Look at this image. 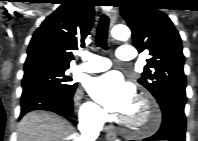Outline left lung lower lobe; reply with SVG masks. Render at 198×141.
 I'll return each mask as SVG.
<instances>
[{
	"label": "left lung lower lobe",
	"mask_w": 198,
	"mask_h": 141,
	"mask_svg": "<svg viewBox=\"0 0 198 141\" xmlns=\"http://www.w3.org/2000/svg\"><path fill=\"white\" fill-rule=\"evenodd\" d=\"M186 100L187 98L184 95H169L159 101L163 115L162 125L155 135L144 139V141H185L186 120L184 106Z\"/></svg>",
	"instance_id": "obj_1"
}]
</instances>
